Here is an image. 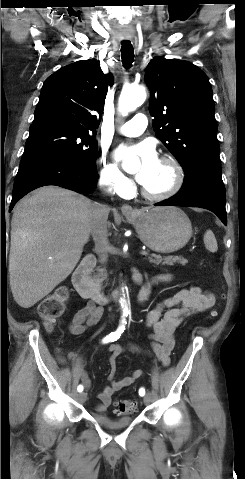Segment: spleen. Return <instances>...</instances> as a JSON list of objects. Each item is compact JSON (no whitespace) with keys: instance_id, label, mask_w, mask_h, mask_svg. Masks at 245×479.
Wrapping results in <instances>:
<instances>
[{"instance_id":"3e777b00","label":"spleen","mask_w":245,"mask_h":479,"mask_svg":"<svg viewBox=\"0 0 245 479\" xmlns=\"http://www.w3.org/2000/svg\"><path fill=\"white\" fill-rule=\"evenodd\" d=\"M204 244L210 252H216L218 250L217 241L214 233L211 230H207L204 234Z\"/></svg>"}]
</instances>
